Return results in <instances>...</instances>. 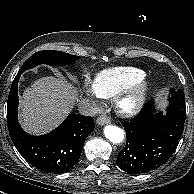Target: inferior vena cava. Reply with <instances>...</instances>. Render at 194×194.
<instances>
[{
	"instance_id": "1",
	"label": "inferior vena cava",
	"mask_w": 194,
	"mask_h": 194,
	"mask_svg": "<svg viewBox=\"0 0 194 194\" xmlns=\"http://www.w3.org/2000/svg\"><path fill=\"white\" fill-rule=\"evenodd\" d=\"M79 112L82 115L95 116L97 114V106L95 101L91 99H83L79 103Z\"/></svg>"
}]
</instances>
